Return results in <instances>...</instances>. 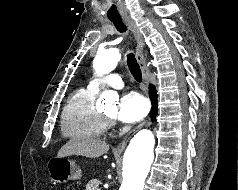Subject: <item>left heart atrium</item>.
<instances>
[{
	"mask_svg": "<svg viewBox=\"0 0 238 190\" xmlns=\"http://www.w3.org/2000/svg\"><path fill=\"white\" fill-rule=\"evenodd\" d=\"M149 110L147 100L137 92L125 94L116 113L119 120L126 123H135L143 119Z\"/></svg>",
	"mask_w": 238,
	"mask_h": 190,
	"instance_id": "left-heart-atrium-1",
	"label": "left heart atrium"
}]
</instances>
